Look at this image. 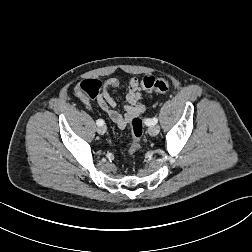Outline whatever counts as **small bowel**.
Wrapping results in <instances>:
<instances>
[{
	"instance_id": "1",
	"label": "small bowel",
	"mask_w": 252,
	"mask_h": 252,
	"mask_svg": "<svg viewBox=\"0 0 252 252\" xmlns=\"http://www.w3.org/2000/svg\"><path fill=\"white\" fill-rule=\"evenodd\" d=\"M117 78H110L104 82L101 92L97 97V103L108 118L120 129H125L133 118L141 115L145 106L142 103V87L137 78H131L126 95L127 103L124 105V112L116 108V101L110 95V91L119 87ZM75 95L81 99L87 108H91L89 99L82 93L80 86L75 88Z\"/></svg>"
}]
</instances>
